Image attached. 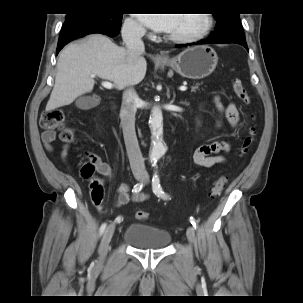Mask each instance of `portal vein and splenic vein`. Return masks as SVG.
I'll return each instance as SVG.
<instances>
[{
    "label": "portal vein and splenic vein",
    "mask_w": 303,
    "mask_h": 303,
    "mask_svg": "<svg viewBox=\"0 0 303 303\" xmlns=\"http://www.w3.org/2000/svg\"><path fill=\"white\" fill-rule=\"evenodd\" d=\"M92 78L95 77V75H91ZM102 86L107 88V89H112L113 88V84L108 82V81H103L102 82ZM181 91H186L187 90V87L186 86H180L179 88Z\"/></svg>",
    "instance_id": "18ae733b"
}]
</instances>
